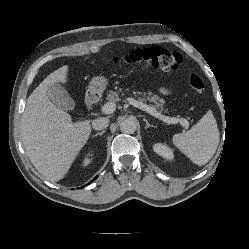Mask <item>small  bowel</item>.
I'll return each instance as SVG.
<instances>
[{
    "label": "small bowel",
    "mask_w": 249,
    "mask_h": 249,
    "mask_svg": "<svg viewBox=\"0 0 249 249\" xmlns=\"http://www.w3.org/2000/svg\"><path fill=\"white\" fill-rule=\"evenodd\" d=\"M161 92L164 93V94H168L169 93V90L167 88H161Z\"/></svg>",
    "instance_id": "obj_1"
}]
</instances>
